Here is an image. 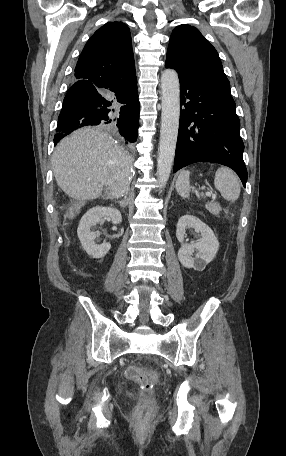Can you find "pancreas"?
<instances>
[{
  "mask_svg": "<svg viewBox=\"0 0 286 456\" xmlns=\"http://www.w3.org/2000/svg\"><path fill=\"white\" fill-rule=\"evenodd\" d=\"M206 209L212 213L213 215H218L220 210H221V207L218 203H215V202H210V203H207L205 205Z\"/></svg>",
  "mask_w": 286,
  "mask_h": 456,
  "instance_id": "1",
  "label": "pancreas"
}]
</instances>
